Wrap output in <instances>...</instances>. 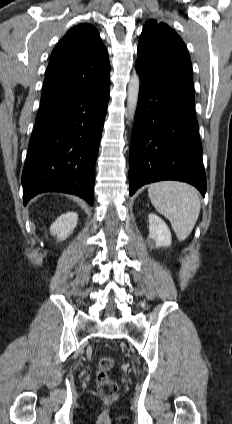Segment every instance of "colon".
<instances>
[{
  "instance_id": "colon-1",
  "label": "colon",
  "mask_w": 232,
  "mask_h": 424,
  "mask_svg": "<svg viewBox=\"0 0 232 424\" xmlns=\"http://www.w3.org/2000/svg\"><path fill=\"white\" fill-rule=\"evenodd\" d=\"M114 367V359L112 357H103L99 360L96 388L99 394L105 398H114L118 393L117 383L109 377V372Z\"/></svg>"
}]
</instances>
